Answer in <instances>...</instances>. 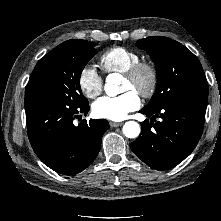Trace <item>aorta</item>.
<instances>
[{
    "instance_id": "obj_1",
    "label": "aorta",
    "mask_w": 221,
    "mask_h": 221,
    "mask_svg": "<svg viewBox=\"0 0 221 221\" xmlns=\"http://www.w3.org/2000/svg\"><path fill=\"white\" fill-rule=\"evenodd\" d=\"M121 82V76L118 73L109 74L106 78L104 86L105 92L109 96H116L119 93V84ZM123 134L127 138H136L141 132L140 125L135 121H128L123 125Z\"/></svg>"
}]
</instances>
